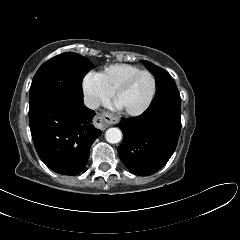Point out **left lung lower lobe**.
I'll use <instances>...</instances> for the list:
<instances>
[{"mask_svg": "<svg viewBox=\"0 0 240 240\" xmlns=\"http://www.w3.org/2000/svg\"><path fill=\"white\" fill-rule=\"evenodd\" d=\"M181 102L151 104L142 115L122 118L119 128L124 138L118 154L134 174L157 172L174 153L181 131Z\"/></svg>", "mask_w": 240, "mask_h": 240, "instance_id": "0a47b994", "label": "left lung lower lobe"}]
</instances>
